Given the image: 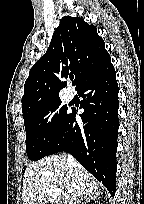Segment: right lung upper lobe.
Returning a JSON list of instances; mask_svg holds the SVG:
<instances>
[{
	"label": "right lung upper lobe",
	"instance_id": "right-lung-upper-lobe-1",
	"mask_svg": "<svg viewBox=\"0 0 144 204\" xmlns=\"http://www.w3.org/2000/svg\"><path fill=\"white\" fill-rule=\"evenodd\" d=\"M109 59L96 26L88 25L81 18L62 17L47 52L31 68L25 82L23 116L59 98V91L64 87L61 77L74 74L77 89L90 73Z\"/></svg>",
	"mask_w": 144,
	"mask_h": 204
}]
</instances>
